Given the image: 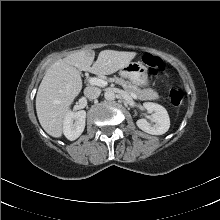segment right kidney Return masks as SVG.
Returning a JSON list of instances; mask_svg holds the SVG:
<instances>
[{"instance_id":"right-kidney-1","label":"right kidney","mask_w":220,"mask_h":220,"mask_svg":"<svg viewBox=\"0 0 220 220\" xmlns=\"http://www.w3.org/2000/svg\"><path fill=\"white\" fill-rule=\"evenodd\" d=\"M86 112L80 110L77 112H68L63 121V133L68 140L77 139L85 128Z\"/></svg>"}]
</instances>
